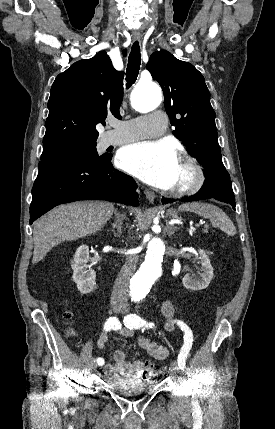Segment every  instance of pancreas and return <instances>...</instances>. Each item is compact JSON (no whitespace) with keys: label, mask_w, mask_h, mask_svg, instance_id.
Segmentation results:
<instances>
[{"label":"pancreas","mask_w":275,"mask_h":429,"mask_svg":"<svg viewBox=\"0 0 275 429\" xmlns=\"http://www.w3.org/2000/svg\"><path fill=\"white\" fill-rule=\"evenodd\" d=\"M204 232H205V233H208V230H207V229H205V230H204Z\"/></svg>","instance_id":"1"}]
</instances>
